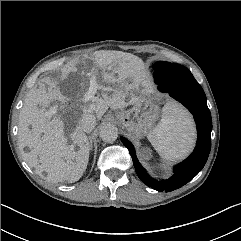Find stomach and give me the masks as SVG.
<instances>
[{"instance_id": "1", "label": "stomach", "mask_w": 241, "mask_h": 241, "mask_svg": "<svg viewBox=\"0 0 241 241\" xmlns=\"http://www.w3.org/2000/svg\"><path fill=\"white\" fill-rule=\"evenodd\" d=\"M159 118V105L155 97L143 93L128 110H121L116 119L127 131L141 137L150 132Z\"/></svg>"}]
</instances>
